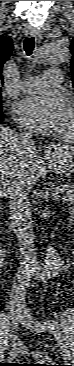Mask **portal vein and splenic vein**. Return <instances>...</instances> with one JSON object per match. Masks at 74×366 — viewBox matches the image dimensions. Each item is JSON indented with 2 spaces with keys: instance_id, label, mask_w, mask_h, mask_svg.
<instances>
[{
  "instance_id": "obj_1",
  "label": "portal vein and splenic vein",
  "mask_w": 74,
  "mask_h": 366,
  "mask_svg": "<svg viewBox=\"0 0 74 366\" xmlns=\"http://www.w3.org/2000/svg\"><path fill=\"white\" fill-rule=\"evenodd\" d=\"M60 192H61L60 190H54L53 191V196L54 197H59Z\"/></svg>"
}]
</instances>
